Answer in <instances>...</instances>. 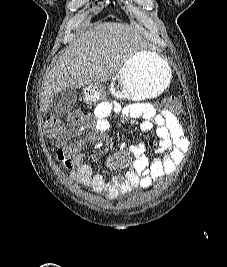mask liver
<instances>
[{"mask_svg":"<svg viewBox=\"0 0 227 267\" xmlns=\"http://www.w3.org/2000/svg\"><path fill=\"white\" fill-rule=\"evenodd\" d=\"M145 46L140 33L124 23H100L88 29L71 43L44 77L40 110L48 111L54 96L64 89L111 80Z\"/></svg>","mask_w":227,"mask_h":267,"instance_id":"liver-1","label":"liver"}]
</instances>
